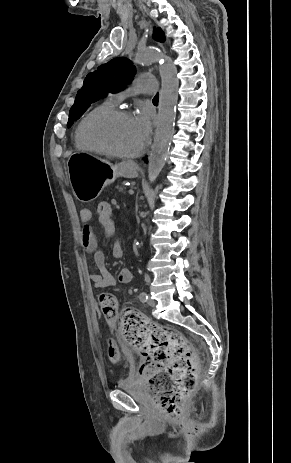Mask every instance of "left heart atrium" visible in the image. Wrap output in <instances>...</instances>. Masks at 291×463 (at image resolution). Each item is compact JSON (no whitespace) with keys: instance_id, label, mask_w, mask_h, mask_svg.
Listing matches in <instances>:
<instances>
[{"instance_id":"1","label":"left heart atrium","mask_w":291,"mask_h":463,"mask_svg":"<svg viewBox=\"0 0 291 463\" xmlns=\"http://www.w3.org/2000/svg\"><path fill=\"white\" fill-rule=\"evenodd\" d=\"M133 122L143 144L146 143L151 132V120L149 114L145 112L139 113L133 117Z\"/></svg>"}]
</instances>
